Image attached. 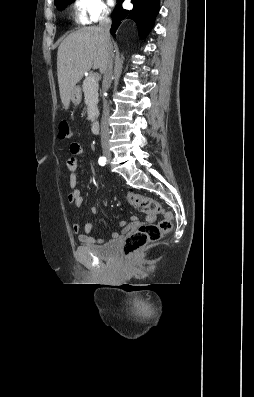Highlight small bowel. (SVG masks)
Returning <instances> with one entry per match:
<instances>
[{"instance_id":"small-bowel-1","label":"small bowel","mask_w":254,"mask_h":397,"mask_svg":"<svg viewBox=\"0 0 254 397\" xmlns=\"http://www.w3.org/2000/svg\"><path fill=\"white\" fill-rule=\"evenodd\" d=\"M70 152L72 156L69 158L67 162L68 169L70 171V176H69V187L71 189L69 195H68V201L73 204L75 207H80L83 204V195L80 191V189L77 188V183H78V177L76 174L77 168H78V160L77 156L81 155L83 153V148L79 143L73 142L70 144ZM90 212L93 215H96L98 213V208L93 206L90 208ZM149 221H153L155 218L152 215H149L147 217ZM132 222L130 225H126L125 222H120L119 223V229L122 232H127L131 229H133L137 224H138V219L136 217L131 218ZM93 229V224L91 222H87L84 225V232H81V226L79 223L74 222L72 224V230L74 233L78 234V239L81 243L86 244V245H94L97 243H101L102 240L99 238H95L90 236V233ZM120 233L118 231L113 232L112 237L113 238H118Z\"/></svg>"}]
</instances>
